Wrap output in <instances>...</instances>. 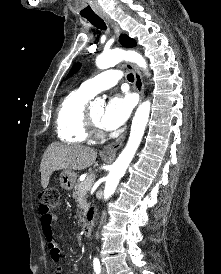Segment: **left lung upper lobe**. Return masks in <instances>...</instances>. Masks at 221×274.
Listing matches in <instances>:
<instances>
[{"label": "left lung upper lobe", "mask_w": 221, "mask_h": 274, "mask_svg": "<svg viewBox=\"0 0 221 274\" xmlns=\"http://www.w3.org/2000/svg\"><path fill=\"white\" fill-rule=\"evenodd\" d=\"M120 42L123 46L125 47H134L136 45V42L129 38L126 34H122L120 36ZM80 68V63H77L73 66V68L70 70L68 77L72 76L74 73H76V71Z\"/></svg>", "instance_id": "5c2ea615"}]
</instances>
